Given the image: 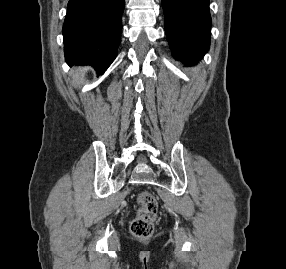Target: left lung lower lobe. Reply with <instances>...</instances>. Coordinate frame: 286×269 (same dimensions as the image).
Instances as JSON below:
<instances>
[{"label":"left lung lower lobe","instance_id":"left-lung-lower-lobe-1","mask_svg":"<svg viewBox=\"0 0 286 269\" xmlns=\"http://www.w3.org/2000/svg\"><path fill=\"white\" fill-rule=\"evenodd\" d=\"M165 31L176 59L195 64L210 45L209 0H162Z\"/></svg>","mask_w":286,"mask_h":269}]
</instances>
